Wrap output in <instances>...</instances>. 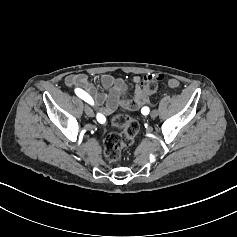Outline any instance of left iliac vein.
I'll list each match as a JSON object with an SVG mask.
<instances>
[{"label":"left iliac vein","mask_w":237,"mask_h":237,"mask_svg":"<svg viewBox=\"0 0 237 237\" xmlns=\"http://www.w3.org/2000/svg\"><path fill=\"white\" fill-rule=\"evenodd\" d=\"M157 115H158V110H156V109H154V110L150 113V116H151L152 118L157 117Z\"/></svg>","instance_id":"left-iliac-vein-1"}]
</instances>
